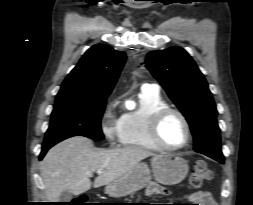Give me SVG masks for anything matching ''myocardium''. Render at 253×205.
Here are the masks:
<instances>
[{
    "instance_id": "myocardium-1",
    "label": "myocardium",
    "mask_w": 253,
    "mask_h": 205,
    "mask_svg": "<svg viewBox=\"0 0 253 205\" xmlns=\"http://www.w3.org/2000/svg\"><path fill=\"white\" fill-rule=\"evenodd\" d=\"M171 115H176L177 117H179L181 121L183 122L186 129L185 141L182 144L176 145V146H171V145L166 144L162 140L161 133H160L163 122ZM149 136L152 142L159 149L166 150V151H176V150H180L186 147L189 144L192 137V131H191V126L188 119L181 111L171 108V107H167V108H163L157 111L151 117V120L149 123Z\"/></svg>"
}]
</instances>
